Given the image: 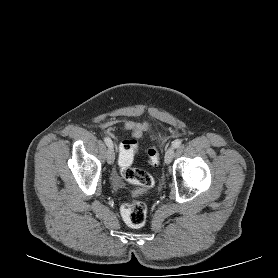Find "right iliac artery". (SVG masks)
<instances>
[{"label": "right iliac artery", "instance_id": "obj_1", "mask_svg": "<svg viewBox=\"0 0 278 278\" xmlns=\"http://www.w3.org/2000/svg\"><path fill=\"white\" fill-rule=\"evenodd\" d=\"M104 142L106 143V145L108 147H113V143H112V141H111V139L109 137H105L104 138Z\"/></svg>", "mask_w": 278, "mask_h": 278}]
</instances>
